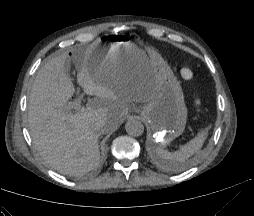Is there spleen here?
<instances>
[{"mask_svg": "<svg viewBox=\"0 0 254 216\" xmlns=\"http://www.w3.org/2000/svg\"><path fill=\"white\" fill-rule=\"evenodd\" d=\"M207 131H202L197 134L187 144L180 147L175 152H169L160 147L153 148L158 161L168 170L175 171L179 164L184 163L194 153L199 151L207 137Z\"/></svg>", "mask_w": 254, "mask_h": 216, "instance_id": "spleen-1", "label": "spleen"}]
</instances>
